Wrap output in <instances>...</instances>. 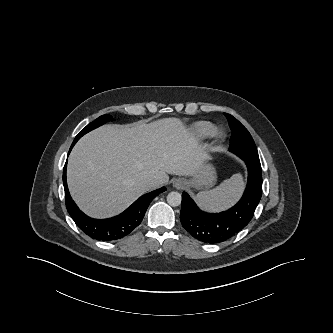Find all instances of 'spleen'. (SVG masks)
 Segmentation results:
<instances>
[{
	"label": "spleen",
	"instance_id": "spleen-1",
	"mask_svg": "<svg viewBox=\"0 0 333 333\" xmlns=\"http://www.w3.org/2000/svg\"><path fill=\"white\" fill-rule=\"evenodd\" d=\"M243 184L242 176L234 174L215 189L199 192L196 195L197 203L201 208L210 211L225 209L238 199L243 189Z\"/></svg>",
	"mask_w": 333,
	"mask_h": 333
}]
</instances>
